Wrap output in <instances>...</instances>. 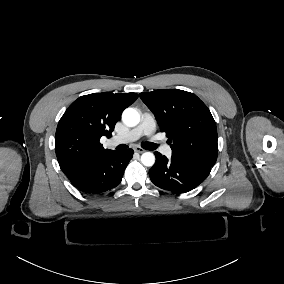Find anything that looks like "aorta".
<instances>
[{"label":"aorta","mask_w":284,"mask_h":284,"mask_svg":"<svg viewBox=\"0 0 284 284\" xmlns=\"http://www.w3.org/2000/svg\"><path fill=\"white\" fill-rule=\"evenodd\" d=\"M122 121L128 127H134L140 122V114L135 108H126L122 113ZM141 163L151 167L155 163V156L152 152H145L141 155Z\"/></svg>","instance_id":"obj_1"}]
</instances>
